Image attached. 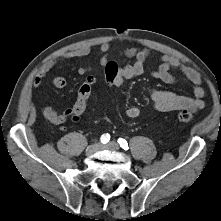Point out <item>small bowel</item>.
<instances>
[{"mask_svg": "<svg viewBox=\"0 0 221 221\" xmlns=\"http://www.w3.org/2000/svg\"><path fill=\"white\" fill-rule=\"evenodd\" d=\"M110 47V44L107 42L102 43L99 47L100 62L104 67L106 62L110 60ZM90 53L91 48L89 46H83L76 50L65 52L59 57L47 60L39 68L34 78V88H41L43 79L59 61L85 58L89 56ZM151 53L152 50L146 48H130L121 52V55L133 59L134 61L132 64L119 66L120 68L116 81L110 85L121 86L126 80L142 75L146 71V62ZM171 70H179L193 84V94L191 96H187L176 92L153 89L151 91V100L154 110L157 112H169L181 109L199 110L203 108L205 90L201 85V76L195 69L183 65L180 60L174 56L163 55L160 58L159 67L155 71H152L151 74L165 83L174 84L176 82V78L171 73ZM89 71L90 68L88 67H81L78 70L79 74L82 76L87 75ZM52 83L58 89L65 88L67 86V81L62 76L54 77ZM42 114L51 124L59 125L66 122L73 116L74 109L73 107L67 108L62 113H58L52 106L46 105L42 107ZM139 115L140 109L137 106H130L126 109V116L129 118L134 119Z\"/></svg>", "mask_w": 221, "mask_h": 221, "instance_id": "small-bowel-1", "label": "small bowel"}]
</instances>
